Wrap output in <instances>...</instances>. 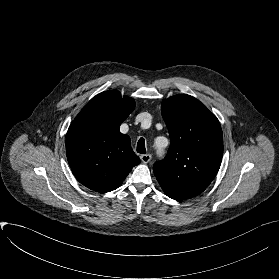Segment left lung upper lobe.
Instances as JSON below:
<instances>
[{"label": "left lung upper lobe", "mask_w": 279, "mask_h": 279, "mask_svg": "<svg viewBox=\"0 0 279 279\" xmlns=\"http://www.w3.org/2000/svg\"><path fill=\"white\" fill-rule=\"evenodd\" d=\"M171 145L153 172L166 194L189 199L204 191L221 165L220 123L199 100L178 94L162 102Z\"/></svg>", "instance_id": "5c2ea615"}]
</instances>
